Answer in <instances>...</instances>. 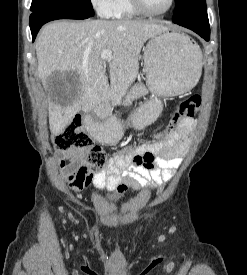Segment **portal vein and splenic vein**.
<instances>
[{
    "mask_svg": "<svg viewBox=\"0 0 247 275\" xmlns=\"http://www.w3.org/2000/svg\"><path fill=\"white\" fill-rule=\"evenodd\" d=\"M112 56H113V54L110 50H105L101 53V59L103 61H110Z\"/></svg>",
    "mask_w": 247,
    "mask_h": 275,
    "instance_id": "obj_1",
    "label": "portal vein and splenic vein"
}]
</instances>
